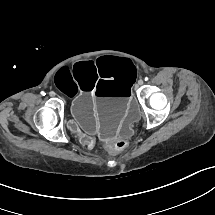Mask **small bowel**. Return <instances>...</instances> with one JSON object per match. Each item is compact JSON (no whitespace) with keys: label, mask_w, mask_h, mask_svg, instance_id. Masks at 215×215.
Listing matches in <instances>:
<instances>
[{"label":"small bowel","mask_w":215,"mask_h":215,"mask_svg":"<svg viewBox=\"0 0 215 215\" xmlns=\"http://www.w3.org/2000/svg\"><path fill=\"white\" fill-rule=\"evenodd\" d=\"M70 127L73 129H77L76 125L74 123H70Z\"/></svg>","instance_id":"c3829d8e"}]
</instances>
